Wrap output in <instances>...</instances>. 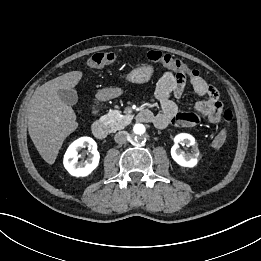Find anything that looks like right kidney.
<instances>
[{
	"label": "right kidney",
	"mask_w": 261,
	"mask_h": 261,
	"mask_svg": "<svg viewBox=\"0 0 261 261\" xmlns=\"http://www.w3.org/2000/svg\"><path fill=\"white\" fill-rule=\"evenodd\" d=\"M88 146L92 149V156L86 161H78V151L80 148ZM100 160L99 152L97 151L96 142L90 137H82L75 140L67 149L63 164L65 169L76 177L88 176L97 166Z\"/></svg>",
	"instance_id": "1"
}]
</instances>
